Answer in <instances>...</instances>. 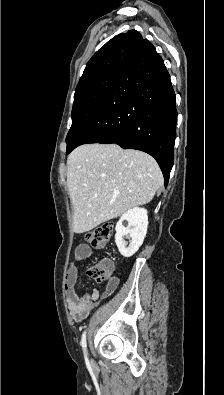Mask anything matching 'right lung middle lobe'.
<instances>
[{
    "label": "right lung middle lobe",
    "instance_id": "obj_1",
    "mask_svg": "<svg viewBox=\"0 0 224 395\" xmlns=\"http://www.w3.org/2000/svg\"><path fill=\"white\" fill-rule=\"evenodd\" d=\"M120 74L121 71L108 73L76 88L72 110V126L66 138L67 150L76 143L87 123L105 102Z\"/></svg>",
    "mask_w": 224,
    "mask_h": 395
}]
</instances>
